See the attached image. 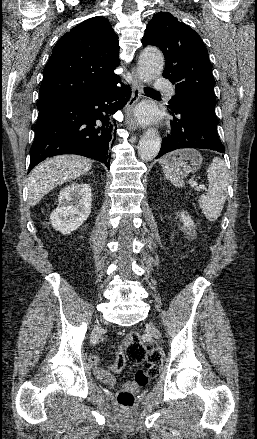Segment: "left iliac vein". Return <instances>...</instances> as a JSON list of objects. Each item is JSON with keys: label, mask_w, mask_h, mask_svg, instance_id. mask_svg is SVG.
Instances as JSON below:
<instances>
[{"label": "left iliac vein", "mask_w": 257, "mask_h": 439, "mask_svg": "<svg viewBox=\"0 0 257 439\" xmlns=\"http://www.w3.org/2000/svg\"><path fill=\"white\" fill-rule=\"evenodd\" d=\"M152 333L157 336L155 328H152Z\"/></svg>", "instance_id": "obj_1"}]
</instances>
